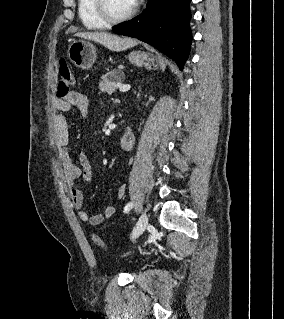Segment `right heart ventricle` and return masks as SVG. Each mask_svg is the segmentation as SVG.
<instances>
[{
	"mask_svg": "<svg viewBox=\"0 0 284 319\" xmlns=\"http://www.w3.org/2000/svg\"><path fill=\"white\" fill-rule=\"evenodd\" d=\"M78 16L87 29H103L107 23L99 16L95 7V0H78Z\"/></svg>",
	"mask_w": 284,
	"mask_h": 319,
	"instance_id": "obj_1",
	"label": "right heart ventricle"
}]
</instances>
